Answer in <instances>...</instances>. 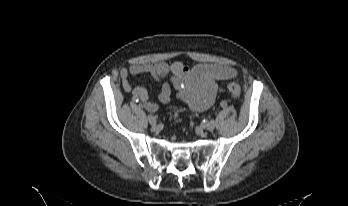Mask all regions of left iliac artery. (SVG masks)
<instances>
[{
	"label": "left iliac artery",
	"mask_w": 348,
	"mask_h": 206,
	"mask_svg": "<svg viewBox=\"0 0 348 206\" xmlns=\"http://www.w3.org/2000/svg\"><path fill=\"white\" fill-rule=\"evenodd\" d=\"M227 106H229V103L226 101H221V107L222 108H227Z\"/></svg>",
	"instance_id": "left-iliac-artery-1"
}]
</instances>
